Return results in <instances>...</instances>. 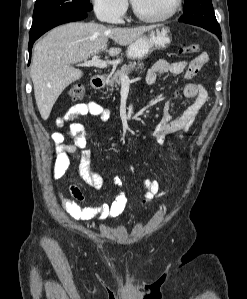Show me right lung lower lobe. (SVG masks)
<instances>
[{
  "label": "right lung lower lobe",
  "instance_id": "right-lung-lower-lobe-1",
  "mask_svg": "<svg viewBox=\"0 0 247 299\" xmlns=\"http://www.w3.org/2000/svg\"><path fill=\"white\" fill-rule=\"evenodd\" d=\"M87 16L86 12H74V13H70L67 15H64L56 20H53L52 22L48 23L47 25H45L44 27H42L41 29H39L37 32L30 34V40H29V52L31 55V49H32V45L33 43L45 32H47L48 30H50L51 28L66 23V22H71V21H77V20H81L84 19ZM30 63V60H29Z\"/></svg>",
  "mask_w": 247,
  "mask_h": 299
}]
</instances>
